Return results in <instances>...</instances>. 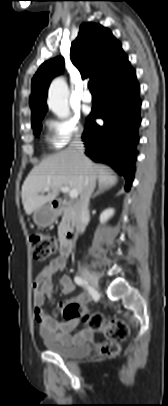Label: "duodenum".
I'll return each mask as SVG.
<instances>
[{"label":"duodenum","instance_id":"410a0bca","mask_svg":"<svg viewBox=\"0 0 168 406\" xmlns=\"http://www.w3.org/2000/svg\"><path fill=\"white\" fill-rule=\"evenodd\" d=\"M52 208L56 212H75L77 209V205L75 202H69L64 200H53L51 202ZM73 251V235L68 232L62 236L60 239V253L64 257H68L72 254Z\"/></svg>","mask_w":168,"mask_h":406}]
</instances>
